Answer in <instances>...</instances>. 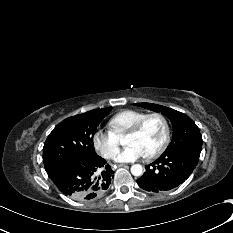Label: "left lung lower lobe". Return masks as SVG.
Listing matches in <instances>:
<instances>
[{"label": "left lung lower lobe", "instance_id": "left-lung-lower-lobe-1", "mask_svg": "<svg viewBox=\"0 0 233 233\" xmlns=\"http://www.w3.org/2000/svg\"><path fill=\"white\" fill-rule=\"evenodd\" d=\"M199 156L200 154L186 150L165 151L156 161L145 166L146 171L137 183L149 192L174 189L188 179Z\"/></svg>", "mask_w": 233, "mask_h": 233}]
</instances>
